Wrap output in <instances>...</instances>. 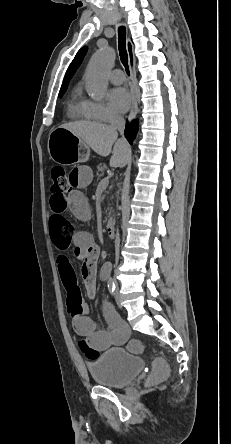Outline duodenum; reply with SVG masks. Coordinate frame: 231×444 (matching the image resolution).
<instances>
[{
    "label": "duodenum",
    "mask_w": 231,
    "mask_h": 444,
    "mask_svg": "<svg viewBox=\"0 0 231 444\" xmlns=\"http://www.w3.org/2000/svg\"><path fill=\"white\" fill-rule=\"evenodd\" d=\"M116 227H117V222L115 220H109L106 224V234L108 235V237L110 238H114L116 236ZM103 279H106L108 274L106 272H102L101 274Z\"/></svg>",
    "instance_id": "1"
}]
</instances>
